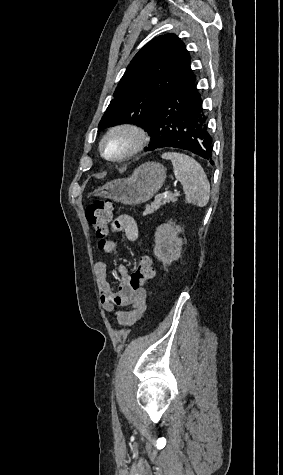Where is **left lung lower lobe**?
I'll return each instance as SVG.
<instances>
[{
    "mask_svg": "<svg viewBox=\"0 0 283 475\" xmlns=\"http://www.w3.org/2000/svg\"><path fill=\"white\" fill-rule=\"evenodd\" d=\"M152 143L146 151L162 147L188 150L213 164L210 135L194 73L173 87L154 108L144 128Z\"/></svg>",
    "mask_w": 283,
    "mask_h": 475,
    "instance_id": "1",
    "label": "left lung lower lobe"
}]
</instances>
